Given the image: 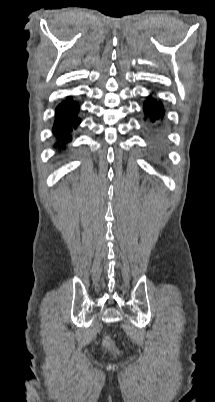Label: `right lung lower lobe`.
Returning <instances> with one entry per match:
<instances>
[{
    "instance_id": "98d812e1",
    "label": "right lung lower lobe",
    "mask_w": 215,
    "mask_h": 402,
    "mask_svg": "<svg viewBox=\"0 0 215 402\" xmlns=\"http://www.w3.org/2000/svg\"><path fill=\"white\" fill-rule=\"evenodd\" d=\"M79 109V104L72 97H67L57 106L52 129L56 138L54 147L64 150L66 144L72 140V131L81 123Z\"/></svg>"
}]
</instances>
